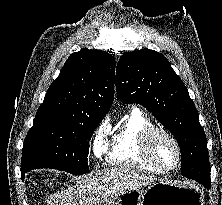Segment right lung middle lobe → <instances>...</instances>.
<instances>
[{"instance_id":"1","label":"right lung middle lobe","mask_w":222,"mask_h":205,"mask_svg":"<svg viewBox=\"0 0 222 205\" xmlns=\"http://www.w3.org/2000/svg\"><path fill=\"white\" fill-rule=\"evenodd\" d=\"M103 118H35L22 149L21 169L54 168L87 173L89 141Z\"/></svg>"}]
</instances>
